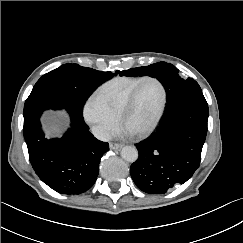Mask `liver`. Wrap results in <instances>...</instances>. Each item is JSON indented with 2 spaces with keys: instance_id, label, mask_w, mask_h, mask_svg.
<instances>
[{
  "instance_id": "liver-1",
  "label": "liver",
  "mask_w": 243,
  "mask_h": 243,
  "mask_svg": "<svg viewBox=\"0 0 243 243\" xmlns=\"http://www.w3.org/2000/svg\"><path fill=\"white\" fill-rule=\"evenodd\" d=\"M60 130H61L60 125L51 124L48 127V134L49 135H51V134H58L60 132Z\"/></svg>"
}]
</instances>
